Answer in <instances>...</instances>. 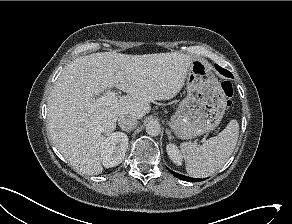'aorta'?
I'll list each match as a JSON object with an SVG mask.
<instances>
[{
  "instance_id": "762f6f07",
  "label": "aorta",
  "mask_w": 292,
  "mask_h": 224,
  "mask_svg": "<svg viewBox=\"0 0 292 224\" xmlns=\"http://www.w3.org/2000/svg\"><path fill=\"white\" fill-rule=\"evenodd\" d=\"M148 135L157 136L160 133V124L157 121H149L146 125Z\"/></svg>"
}]
</instances>
